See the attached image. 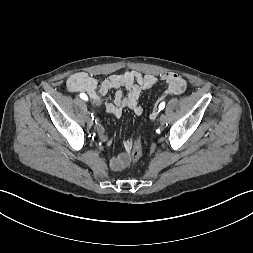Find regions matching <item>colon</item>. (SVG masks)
<instances>
[{
	"mask_svg": "<svg viewBox=\"0 0 253 253\" xmlns=\"http://www.w3.org/2000/svg\"><path fill=\"white\" fill-rule=\"evenodd\" d=\"M130 156L133 162H138L142 156V145L139 139H136L130 149Z\"/></svg>",
	"mask_w": 253,
	"mask_h": 253,
	"instance_id": "colon-1",
	"label": "colon"
}]
</instances>
